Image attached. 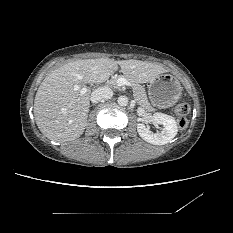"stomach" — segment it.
<instances>
[{"label":"stomach","instance_id":"stomach-1","mask_svg":"<svg viewBox=\"0 0 233 233\" xmlns=\"http://www.w3.org/2000/svg\"><path fill=\"white\" fill-rule=\"evenodd\" d=\"M181 94V84L171 74H160L149 83L148 96L151 103L156 107L168 108L174 105Z\"/></svg>","mask_w":233,"mask_h":233}]
</instances>
